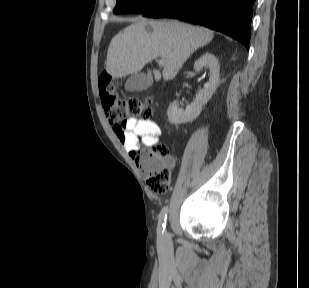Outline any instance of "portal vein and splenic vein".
I'll list each match as a JSON object with an SVG mask.
<instances>
[{"label": "portal vein and splenic vein", "instance_id": "portal-vein-and-splenic-vein-1", "mask_svg": "<svg viewBox=\"0 0 309 288\" xmlns=\"http://www.w3.org/2000/svg\"><path fill=\"white\" fill-rule=\"evenodd\" d=\"M157 63H158L159 66H164L165 65V60L160 58V59L157 60Z\"/></svg>", "mask_w": 309, "mask_h": 288}]
</instances>
